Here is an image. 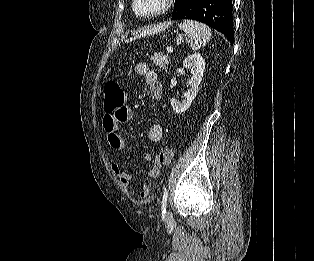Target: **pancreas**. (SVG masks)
<instances>
[{
	"mask_svg": "<svg viewBox=\"0 0 314 261\" xmlns=\"http://www.w3.org/2000/svg\"><path fill=\"white\" fill-rule=\"evenodd\" d=\"M151 62L154 63L155 66L159 67L160 69H167L169 65V57L161 52L154 53V55L150 58Z\"/></svg>",
	"mask_w": 314,
	"mask_h": 261,
	"instance_id": "1",
	"label": "pancreas"
}]
</instances>
